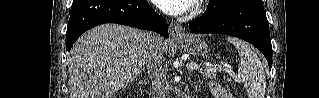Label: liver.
<instances>
[{
	"label": "liver",
	"instance_id": "1",
	"mask_svg": "<svg viewBox=\"0 0 319 98\" xmlns=\"http://www.w3.org/2000/svg\"><path fill=\"white\" fill-rule=\"evenodd\" d=\"M148 40V32L118 24L84 33L68 54L70 98H111L130 84L146 64Z\"/></svg>",
	"mask_w": 319,
	"mask_h": 98
}]
</instances>
